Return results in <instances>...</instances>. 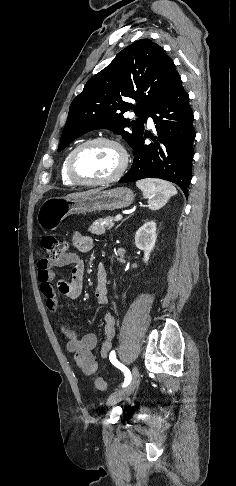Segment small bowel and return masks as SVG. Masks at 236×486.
<instances>
[{"label":"small bowel","instance_id":"obj_1","mask_svg":"<svg viewBox=\"0 0 236 486\" xmlns=\"http://www.w3.org/2000/svg\"><path fill=\"white\" fill-rule=\"evenodd\" d=\"M73 246L80 252H89L94 246L92 237L76 232L73 236ZM71 266V277L69 280H60L57 283V291L70 299L80 297L83 289L84 262L74 252L65 253L58 261L51 262L48 259H41L38 263V279L40 290L46 299V308L56 316L57 326L60 332L67 339V350L73 353L74 361L78 368L87 376L93 375L98 370V363L92 353L97 346L98 339L95 334L78 336L70 323L61 318L62 305L57 291L52 285L55 278L53 267ZM96 302L100 307L108 304L107 272L103 264H99L96 275L95 287ZM105 340L100 347L102 359L108 357L115 335V317L112 313L106 312L103 316Z\"/></svg>","mask_w":236,"mask_h":486}]
</instances>
